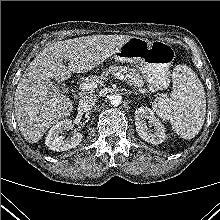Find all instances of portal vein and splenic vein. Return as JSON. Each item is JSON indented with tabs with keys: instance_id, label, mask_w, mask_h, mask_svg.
<instances>
[{
	"instance_id": "18ae733b",
	"label": "portal vein and splenic vein",
	"mask_w": 220,
	"mask_h": 220,
	"mask_svg": "<svg viewBox=\"0 0 220 220\" xmlns=\"http://www.w3.org/2000/svg\"><path fill=\"white\" fill-rule=\"evenodd\" d=\"M115 78L121 80V81H126V77L123 74L120 73H113L112 74ZM98 80L94 79V80H90L87 82H83L82 84H80V89L82 91H90V90H94L95 88H97L98 86Z\"/></svg>"
}]
</instances>
